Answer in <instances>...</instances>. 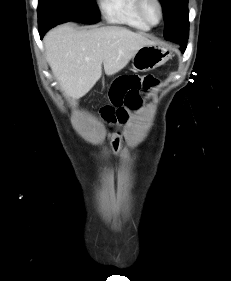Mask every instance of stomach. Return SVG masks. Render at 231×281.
<instances>
[{"mask_svg": "<svg viewBox=\"0 0 231 281\" xmlns=\"http://www.w3.org/2000/svg\"><path fill=\"white\" fill-rule=\"evenodd\" d=\"M170 58L171 51L165 45H146L133 55L132 67L135 71L146 72L160 67Z\"/></svg>", "mask_w": 231, "mask_h": 281, "instance_id": "1", "label": "stomach"}]
</instances>
